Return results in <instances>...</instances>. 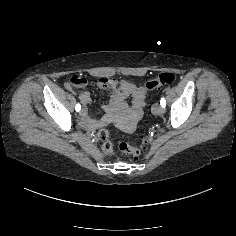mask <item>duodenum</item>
I'll use <instances>...</instances> for the list:
<instances>
[{"label": "duodenum", "mask_w": 236, "mask_h": 236, "mask_svg": "<svg viewBox=\"0 0 236 236\" xmlns=\"http://www.w3.org/2000/svg\"><path fill=\"white\" fill-rule=\"evenodd\" d=\"M108 85L111 87H114L115 83L112 81H109ZM119 86L121 88V91L116 90L112 101L109 103V105H107V110L109 112H112L114 109L119 108V107H125L126 103L124 101V98L126 97V95L135 93L134 87L128 83L121 82L119 84ZM140 101H141V99L135 100V102H134V109L135 110L139 109V104H140L139 102ZM110 121H111L110 117L105 118L102 122H99V123L94 122L88 118H85L83 121V124L87 129H93V128L98 127L100 125L109 123Z\"/></svg>", "instance_id": "1"}]
</instances>
